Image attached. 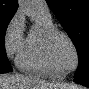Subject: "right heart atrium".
I'll return each instance as SVG.
<instances>
[{"instance_id": "right-heart-atrium-1", "label": "right heart atrium", "mask_w": 89, "mask_h": 89, "mask_svg": "<svg viewBox=\"0 0 89 89\" xmlns=\"http://www.w3.org/2000/svg\"><path fill=\"white\" fill-rule=\"evenodd\" d=\"M24 18L20 13H16L9 22L5 36L4 47L9 57L19 54L24 42Z\"/></svg>"}]
</instances>
